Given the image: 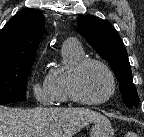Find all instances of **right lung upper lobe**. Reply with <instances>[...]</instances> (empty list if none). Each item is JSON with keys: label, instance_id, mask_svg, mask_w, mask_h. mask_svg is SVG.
I'll use <instances>...</instances> for the list:
<instances>
[{"label": "right lung upper lobe", "instance_id": "obj_1", "mask_svg": "<svg viewBox=\"0 0 144 137\" xmlns=\"http://www.w3.org/2000/svg\"><path fill=\"white\" fill-rule=\"evenodd\" d=\"M44 16L36 9H23L0 30V63L35 59L44 34Z\"/></svg>", "mask_w": 144, "mask_h": 137}]
</instances>
